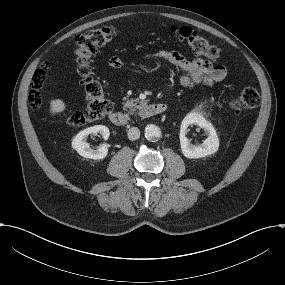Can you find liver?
<instances>
[{"label": "liver", "mask_w": 285, "mask_h": 285, "mask_svg": "<svg viewBox=\"0 0 285 285\" xmlns=\"http://www.w3.org/2000/svg\"><path fill=\"white\" fill-rule=\"evenodd\" d=\"M67 109V103L61 98H50L49 101V115L51 118H56L58 115L64 113Z\"/></svg>", "instance_id": "6515ba94"}]
</instances>
